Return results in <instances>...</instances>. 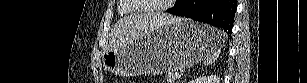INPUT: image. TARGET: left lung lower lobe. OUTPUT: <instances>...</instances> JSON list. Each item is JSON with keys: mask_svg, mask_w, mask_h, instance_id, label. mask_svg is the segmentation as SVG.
Listing matches in <instances>:
<instances>
[{"mask_svg": "<svg viewBox=\"0 0 307 83\" xmlns=\"http://www.w3.org/2000/svg\"><path fill=\"white\" fill-rule=\"evenodd\" d=\"M236 9V0H176L167 12L221 28L230 36Z\"/></svg>", "mask_w": 307, "mask_h": 83, "instance_id": "left-lung-lower-lobe-1", "label": "left lung lower lobe"}]
</instances>
